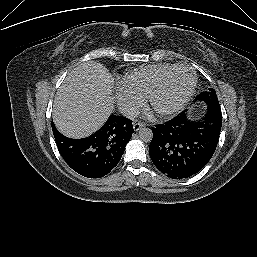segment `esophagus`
<instances>
[{
  "label": "esophagus",
  "instance_id": "34e87169",
  "mask_svg": "<svg viewBox=\"0 0 257 257\" xmlns=\"http://www.w3.org/2000/svg\"><path fill=\"white\" fill-rule=\"evenodd\" d=\"M143 127V123L137 122L133 124V128L135 131H139Z\"/></svg>",
  "mask_w": 257,
  "mask_h": 257
}]
</instances>
